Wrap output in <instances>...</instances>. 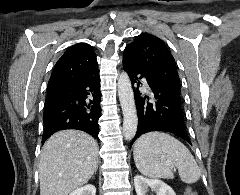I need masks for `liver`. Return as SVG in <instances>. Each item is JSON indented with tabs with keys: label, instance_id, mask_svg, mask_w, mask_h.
Listing matches in <instances>:
<instances>
[{
	"label": "liver",
	"instance_id": "1",
	"mask_svg": "<svg viewBox=\"0 0 240 195\" xmlns=\"http://www.w3.org/2000/svg\"><path fill=\"white\" fill-rule=\"evenodd\" d=\"M98 143L79 129H62L40 153V195H68L87 183L98 167Z\"/></svg>",
	"mask_w": 240,
	"mask_h": 195
}]
</instances>
